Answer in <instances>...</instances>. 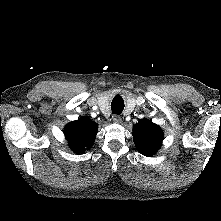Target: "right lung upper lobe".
<instances>
[{
  "mask_svg": "<svg viewBox=\"0 0 221 221\" xmlns=\"http://www.w3.org/2000/svg\"><path fill=\"white\" fill-rule=\"evenodd\" d=\"M96 133L97 124L86 117L69 123L64 131L70 148L77 154L84 153L93 145Z\"/></svg>",
  "mask_w": 221,
  "mask_h": 221,
  "instance_id": "right-lung-upper-lobe-1",
  "label": "right lung upper lobe"
}]
</instances>
